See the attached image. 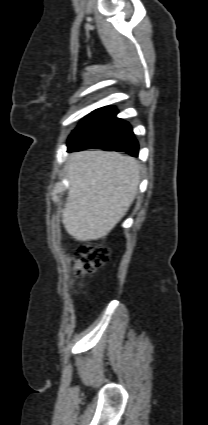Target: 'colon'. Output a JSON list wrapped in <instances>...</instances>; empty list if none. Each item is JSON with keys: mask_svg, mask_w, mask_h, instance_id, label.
I'll return each mask as SVG.
<instances>
[{"mask_svg": "<svg viewBox=\"0 0 208 425\" xmlns=\"http://www.w3.org/2000/svg\"><path fill=\"white\" fill-rule=\"evenodd\" d=\"M108 259L109 252L107 248L95 242L82 244L73 257L75 270L79 276L96 272Z\"/></svg>", "mask_w": 208, "mask_h": 425, "instance_id": "5ec220e1", "label": "colon"}]
</instances>
